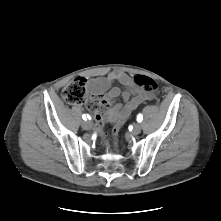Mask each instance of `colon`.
Returning <instances> with one entry per match:
<instances>
[{"label": "colon", "mask_w": 221, "mask_h": 221, "mask_svg": "<svg viewBox=\"0 0 221 221\" xmlns=\"http://www.w3.org/2000/svg\"><path fill=\"white\" fill-rule=\"evenodd\" d=\"M134 83L148 91H155L157 88L156 82L147 76H136L134 78ZM63 99L69 104H83L86 103L88 107H91V103L87 102V91H86V79L77 78L69 83L62 92ZM99 131L102 134L101 126L102 123H99ZM122 124L117 123L113 127V136L117 138Z\"/></svg>", "instance_id": "obj_1"}]
</instances>
